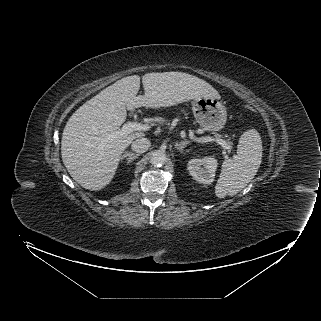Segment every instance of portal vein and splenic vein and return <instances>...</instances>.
Segmentation results:
<instances>
[{"mask_svg":"<svg viewBox=\"0 0 321 321\" xmlns=\"http://www.w3.org/2000/svg\"><path fill=\"white\" fill-rule=\"evenodd\" d=\"M151 128L148 124H141L137 122H128L123 125L122 129L113 133L112 137H116L118 135H125L132 133L134 131H148ZM215 141L221 145L223 148L227 149L228 151H231L232 147L230 146V143L221 139L216 138Z\"/></svg>","mask_w":321,"mask_h":321,"instance_id":"portal-vein-and-splenic-vein-1","label":"portal vein and splenic vein"}]
</instances>
